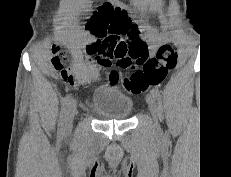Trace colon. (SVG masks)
<instances>
[{
    "label": "colon",
    "instance_id": "1",
    "mask_svg": "<svg viewBox=\"0 0 231 177\" xmlns=\"http://www.w3.org/2000/svg\"><path fill=\"white\" fill-rule=\"evenodd\" d=\"M87 29L96 38L89 46L88 53L104 67L116 58L118 66L131 67L133 73L124 80L127 90L132 93L145 91L149 86H158L177 63V53L171 45L161 46L155 56L149 57L148 46L139 38L137 26L123 10L109 3L99 6L87 23ZM128 37L130 41H126ZM52 64L56 70H63L68 59L67 51L59 45L52 48ZM116 72L109 77L117 78Z\"/></svg>",
    "mask_w": 231,
    "mask_h": 177
}]
</instances>
